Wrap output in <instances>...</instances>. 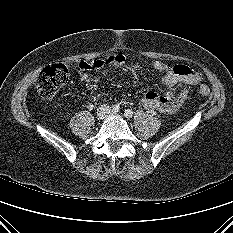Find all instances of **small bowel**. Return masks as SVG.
<instances>
[{
  "instance_id": "obj_1",
  "label": "small bowel",
  "mask_w": 233,
  "mask_h": 233,
  "mask_svg": "<svg viewBox=\"0 0 233 233\" xmlns=\"http://www.w3.org/2000/svg\"><path fill=\"white\" fill-rule=\"evenodd\" d=\"M126 62V56L121 53L111 54L107 57L95 59L92 62L80 63V76L86 82L90 90H95L97 87L98 77L90 73L91 70H99L105 66L122 68ZM178 67H186L183 65L169 66L160 61H154L152 68L154 71L163 74V83L167 86L168 91L165 95H160L156 92H148L142 98V106L149 111H158L162 113L176 112L184 103L188 96L189 85L196 84L200 80L198 74H179L176 69ZM181 85V89L177 94H174L173 89ZM99 95H94L93 99H97Z\"/></svg>"
}]
</instances>
